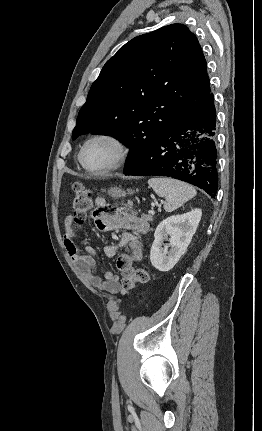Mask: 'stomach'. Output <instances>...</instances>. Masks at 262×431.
Segmentation results:
<instances>
[{
  "label": "stomach",
  "mask_w": 262,
  "mask_h": 431,
  "mask_svg": "<svg viewBox=\"0 0 262 431\" xmlns=\"http://www.w3.org/2000/svg\"><path fill=\"white\" fill-rule=\"evenodd\" d=\"M134 191L128 190V194H133ZM108 194L114 198H121L126 196V192L123 191L120 187H112L108 190Z\"/></svg>",
  "instance_id": "obj_1"
}]
</instances>
